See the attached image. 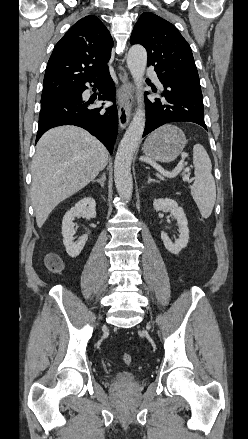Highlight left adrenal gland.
I'll list each match as a JSON object with an SVG mask.
<instances>
[{
	"mask_svg": "<svg viewBox=\"0 0 248 439\" xmlns=\"http://www.w3.org/2000/svg\"><path fill=\"white\" fill-rule=\"evenodd\" d=\"M147 178H148V181H147L148 184L151 182H158L157 180L152 179L150 176H148Z\"/></svg>",
	"mask_w": 248,
	"mask_h": 439,
	"instance_id": "obj_1",
	"label": "left adrenal gland"
}]
</instances>
